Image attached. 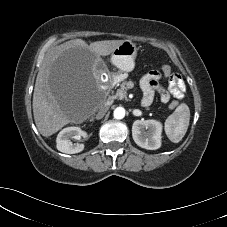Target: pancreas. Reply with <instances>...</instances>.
Listing matches in <instances>:
<instances>
[{
	"instance_id": "pancreas-1",
	"label": "pancreas",
	"mask_w": 227,
	"mask_h": 227,
	"mask_svg": "<svg viewBox=\"0 0 227 227\" xmlns=\"http://www.w3.org/2000/svg\"><path fill=\"white\" fill-rule=\"evenodd\" d=\"M127 94V81H123L120 84V88L117 89L116 94L112 96L113 99H126Z\"/></svg>"
}]
</instances>
